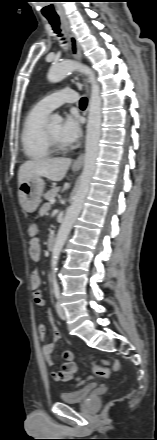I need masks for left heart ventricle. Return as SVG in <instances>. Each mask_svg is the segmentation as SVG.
<instances>
[{
  "mask_svg": "<svg viewBox=\"0 0 157 440\" xmlns=\"http://www.w3.org/2000/svg\"><path fill=\"white\" fill-rule=\"evenodd\" d=\"M48 130L56 140L62 142L60 137V125L56 124V125L48 126Z\"/></svg>",
  "mask_w": 157,
  "mask_h": 440,
  "instance_id": "b2bd125f",
  "label": "left heart ventricle"
}]
</instances>
